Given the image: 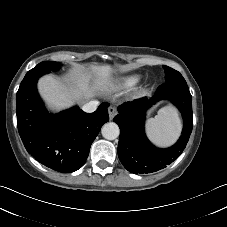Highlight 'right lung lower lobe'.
Wrapping results in <instances>:
<instances>
[{
    "label": "right lung lower lobe",
    "instance_id": "98d812e1",
    "mask_svg": "<svg viewBox=\"0 0 227 227\" xmlns=\"http://www.w3.org/2000/svg\"><path fill=\"white\" fill-rule=\"evenodd\" d=\"M46 73H28L20 84L16 94L18 131L26 150L38 162L71 173L84 165L92 142L109 121V104L103 102L91 114L78 107L49 114L36 88L37 80Z\"/></svg>",
    "mask_w": 227,
    "mask_h": 227
}]
</instances>
